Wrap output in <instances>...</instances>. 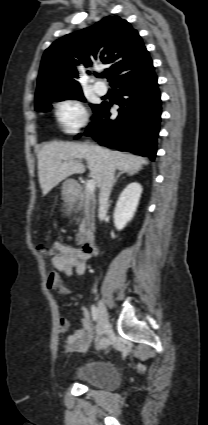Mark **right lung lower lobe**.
I'll list each match as a JSON object with an SVG mask.
<instances>
[{
  "label": "right lung lower lobe",
  "mask_w": 208,
  "mask_h": 425,
  "mask_svg": "<svg viewBox=\"0 0 208 425\" xmlns=\"http://www.w3.org/2000/svg\"><path fill=\"white\" fill-rule=\"evenodd\" d=\"M116 91L119 115L110 118V107L99 104L85 135L100 145L133 152L154 160L159 132L161 100L152 61L149 57L126 68L111 82ZM117 88V89H116ZM78 135L77 137H79Z\"/></svg>",
  "instance_id": "right-lung-lower-lobe-1"
}]
</instances>
